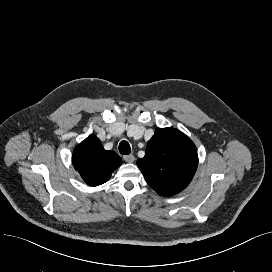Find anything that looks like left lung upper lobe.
<instances>
[{"instance_id": "obj_1", "label": "left lung upper lobe", "mask_w": 272, "mask_h": 272, "mask_svg": "<svg viewBox=\"0 0 272 272\" xmlns=\"http://www.w3.org/2000/svg\"><path fill=\"white\" fill-rule=\"evenodd\" d=\"M198 165L192 140L175 128H158L137 166L147 183L160 195L172 196L185 189Z\"/></svg>"}]
</instances>
